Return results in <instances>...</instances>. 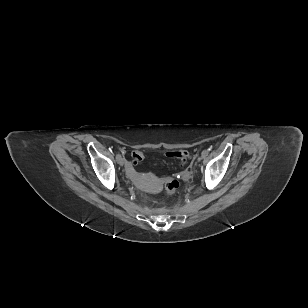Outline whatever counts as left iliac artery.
Listing matches in <instances>:
<instances>
[{
  "label": "left iliac artery",
  "mask_w": 308,
  "mask_h": 308,
  "mask_svg": "<svg viewBox=\"0 0 308 308\" xmlns=\"http://www.w3.org/2000/svg\"><path fill=\"white\" fill-rule=\"evenodd\" d=\"M202 154L207 155V154H208V150H204V151L202 152Z\"/></svg>",
  "instance_id": "obj_1"
}]
</instances>
